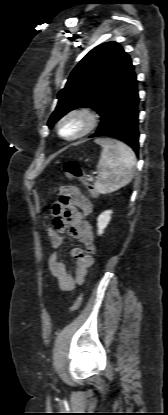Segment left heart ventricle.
<instances>
[{
  "instance_id": "left-heart-ventricle-1",
  "label": "left heart ventricle",
  "mask_w": 168,
  "mask_h": 415,
  "mask_svg": "<svg viewBox=\"0 0 168 415\" xmlns=\"http://www.w3.org/2000/svg\"><path fill=\"white\" fill-rule=\"evenodd\" d=\"M85 126V121L79 116L66 119L61 127L62 134L66 137L78 134Z\"/></svg>"
}]
</instances>
